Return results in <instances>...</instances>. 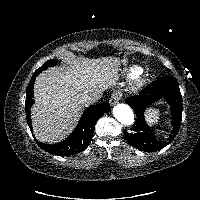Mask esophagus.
<instances>
[{
	"mask_svg": "<svg viewBox=\"0 0 200 200\" xmlns=\"http://www.w3.org/2000/svg\"><path fill=\"white\" fill-rule=\"evenodd\" d=\"M122 94L120 92H114L112 93L110 99H109V103L111 106L116 105L119 100L121 99Z\"/></svg>",
	"mask_w": 200,
	"mask_h": 200,
	"instance_id": "34e87169",
	"label": "esophagus"
}]
</instances>
